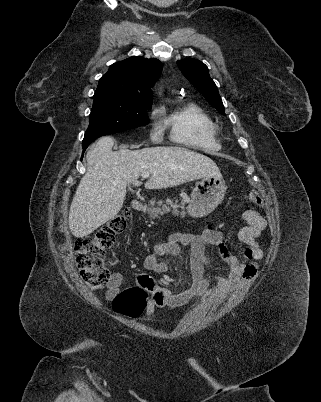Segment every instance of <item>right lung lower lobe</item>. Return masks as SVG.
Segmentation results:
<instances>
[{"instance_id":"98d812e1","label":"right lung lower lobe","mask_w":321,"mask_h":402,"mask_svg":"<svg viewBox=\"0 0 321 402\" xmlns=\"http://www.w3.org/2000/svg\"><path fill=\"white\" fill-rule=\"evenodd\" d=\"M93 141H86L83 140V153L86 150V148L89 146L90 143H92Z\"/></svg>"}]
</instances>
